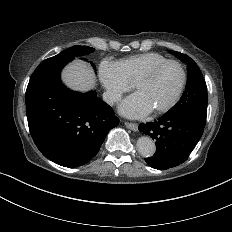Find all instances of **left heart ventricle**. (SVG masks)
Masks as SVG:
<instances>
[{"label": "left heart ventricle", "instance_id": "b2bd125f", "mask_svg": "<svg viewBox=\"0 0 232 232\" xmlns=\"http://www.w3.org/2000/svg\"><path fill=\"white\" fill-rule=\"evenodd\" d=\"M181 82L182 73L179 67L169 64L160 69L150 80L139 83L135 90L155 111L172 100Z\"/></svg>", "mask_w": 232, "mask_h": 232}]
</instances>
